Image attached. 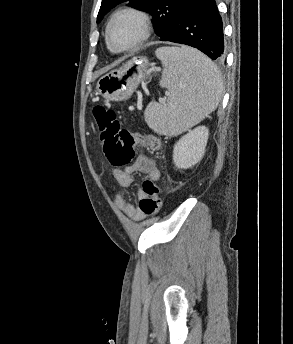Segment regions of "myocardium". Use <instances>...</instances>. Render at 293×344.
<instances>
[{"instance_id":"obj_1","label":"myocardium","mask_w":293,"mask_h":344,"mask_svg":"<svg viewBox=\"0 0 293 344\" xmlns=\"http://www.w3.org/2000/svg\"><path fill=\"white\" fill-rule=\"evenodd\" d=\"M122 16H131L136 19L139 25L140 34L135 42L132 44L116 48L113 46L110 39V29L113 23ZM152 33V23L149 15L141 9L135 7H123L115 11L108 20L105 28V40L108 48L114 53H124L135 50L143 45L150 37Z\"/></svg>"}]
</instances>
